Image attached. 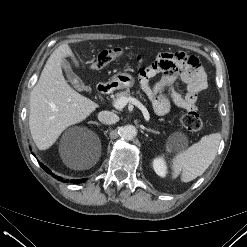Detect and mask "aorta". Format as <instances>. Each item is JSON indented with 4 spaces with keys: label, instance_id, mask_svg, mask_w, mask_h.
I'll return each instance as SVG.
<instances>
[{
    "label": "aorta",
    "instance_id": "obj_1",
    "mask_svg": "<svg viewBox=\"0 0 247 247\" xmlns=\"http://www.w3.org/2000/svg\"><path fill=\"white\" fill-rule=\"evenodd\" d=\"M137 135V129L133 125H125L119 129V136L122 140L130 141Z\"/></svg>",
    "mask_w": 247,
    "mask_h": 247
}]
</instances>
